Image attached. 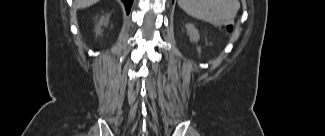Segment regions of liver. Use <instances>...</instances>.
Here are the masks:
<instances>
[{"instance_id": "obj_1", "label": "liver", "mask_w": 325, "mask_h": 136, "mask_svg": "<svg viewBox=\"0 0 325 136\" xmlns=\"http://www.w3.org/2000/svg\"><path fill=\"white\" fill-rule=\"evenodd\" d=\"M98 2V0H75L74 6L76 8H86Z\"/></svg>"}]
</instances>
